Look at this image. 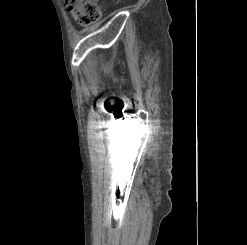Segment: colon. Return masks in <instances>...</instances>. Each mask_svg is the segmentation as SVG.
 <instances>
[{
	"label": "colon",
	"instance_id": "colon-1",
	"mask_svg": "<svg viewBox=\"0 0 247 245\" xmlns=\"http://www.w3.org/2000/svg\"><path fill=\"white\" fill-rule=\"evenodd\" d=\"M75 21L83 26L91 25L101 17L99 0H63Z\"/></svg>",
	"mask_w": 247,
	"mask_h": 245
}]
</instances>
